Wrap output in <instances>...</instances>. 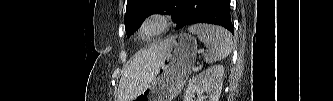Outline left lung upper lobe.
Listing matches in <instances>:
<instances>
[{
	"label": "left lung upper lobe",
	"instance_id": "left-lung-upper-lobe-1",
	"mask_svg": "<svg viewBox=\"0 0 333 101\" xmlns=\"http://www.w3.org/2000/svg\"><path fill=\"white\" fill-rule=\"evenodd\" d=\"M162 10L168 11L178 24L184 8L180 0H127L124 17L127 36L129 37L146 17Z\"/></svg>",
	"mask_w": 333,
	"mask_h": 101
}]
</instances>
